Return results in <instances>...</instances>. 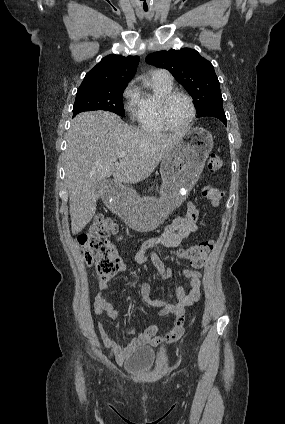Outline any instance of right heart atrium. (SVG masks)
I'll return each instance as SVG.
<instances>
[{
    "instance_id": "obj_1",
    "label": "right heart atrium",
    "mask_w": 285,
    "mask_h": 424,
    "mask_svg": "<svg viewBox=\"0 0 285 424\" xmlns=\"http://www.w3.org/2000/svg\"><path fill=\"white\" fill-rule=\"evenodd\" d=\"M125 109L133 114L138 102V87L134 80L129 82L123 91Z\"/></svg>"
}]
</instances>
